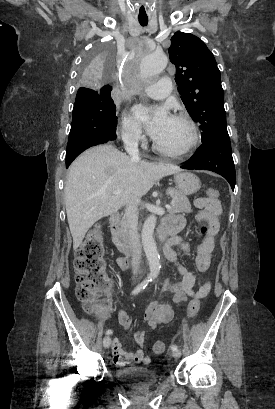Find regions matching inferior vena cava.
I'll list each match as a JSON object with an SVG mask.
<instances>
[{"instance_id": "1", "label": "inferior vena cava", "mask_w": 275, "mask_h": 409, "mask_svg": "<svg viewBox=\"0 0 275 409\" xmlns=\"http://www.w3.org/2000/svg\"><path fill=\"white\" fill-rule=\"evenodd\" d=\"M122 140L125 144V148L132 156V158H139V148H138V134L135 130H127L123 132ZM138 202L139 198H130L126 202L125 217L127 221V227L129 231V241L133 249L132 257V267L133 275H137L140 269L141 261V243L137 231L138 227Z\"/></svg>"}]
</instances>
